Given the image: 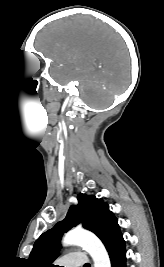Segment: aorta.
<instances>
[{"label":"aorta","instance_id":"762f6f07","mask_svg":"<svg viewBox=\"0 0 164 267\" xmlns=\"http://www.w3.org/2000/svg\"><path fill=\"white\" fill-rule=\"evenodd\" d=\"M64 246L78 245L90 254L94 267H111L108 253L103 243L91 232L74 229L63 237Z\"/></svg>","mask_w":164,"mask_h":267}]
</instances>
